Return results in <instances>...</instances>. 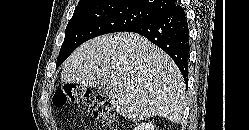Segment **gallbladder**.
I'll return each instance as SVG.
<instances>
[{"label": "gallbladder", "instance_id": "obj_1", "mask_svg": "<svg viewBox=\"0 0 249 130\" xmlns=\"http://www.w3.org/2000/svg\"><path fill=\"white\" fill-rule=\"evenodd\" d=\"M97 93L101 96L107 97L109 94L108 87L105 85L98 87Z\"/></svg>", "mask_w": 249, "mask_h": 130}]
</instances>
